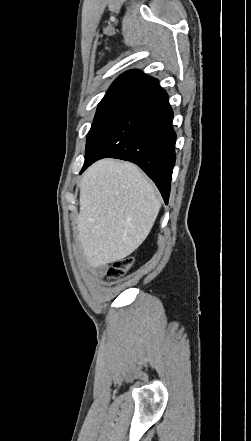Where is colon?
I'll return each mask as SVG.
<instances>
[{"label":"colon","instance_id":"5ec220e1","mask_svg":"<svg viewBox=\"0 0 251 441\" xmlns=\"http://www.w3.org/2000/svg\"><path fill=\"white\" fill-rule=\"evenodd\" d=\"M133 258L130 256L116 259L107 270L109 279H118L122 277L133 265Z\"/></svg>","mask_w":251,"mask_h":441}]
</instances>
